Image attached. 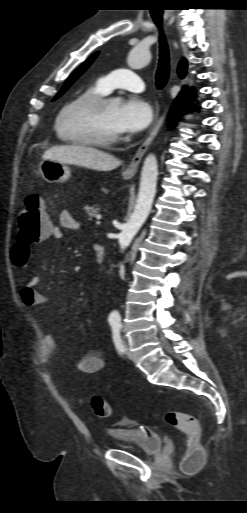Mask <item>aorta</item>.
Here are the masks:
<instances>
[{"instance_id":"1","label":"aorta","mask_w":247,"mask_h":513,"mask_svg":"<svg viewBox=\"0 0 247 513\" xmlns=\"http://www.w3.org/2000/svg\"><path fill=\"white\" fill-rule=\"evenodd\" d=\"M150 59L151 55L149 48L140 43L130 51L127 62L132 69H141L150 62ZM121 101L122 100L119 97L114 99V103L116 104H120ZM157 177V158L154 154H149L143 163L139 193L134 212L129 222L124 225L123 230L119 235V244L122 249L126 248L130 244L134 235L143 225L151 211L156 194ZM119 318L120 315L117 311H113L110 314V319L112 320H118Z\"/></svg>"}]
</instances>
